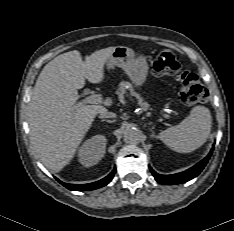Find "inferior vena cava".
Listing matches in <instances>:
<instances>
[{"instance_id":"inferior-vena-cava-1","label":"inferior vena cava","mask_w":234,"mask_h":231,"mask_svg":"<svg viewBox=\"0 0 234 231\" xmlns=\"http://www.w3.org/2000/svg\"><path fill=\"white\" fill-rule=\"evenodd\" d=\"M100 118H115L116 114L107 110L100 112Z\"/></svg>"}]
</instances>
